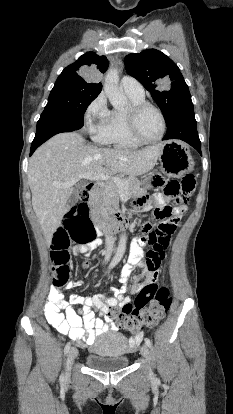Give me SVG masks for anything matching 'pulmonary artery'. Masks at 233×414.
<instances>
[{
    "label": "pulmonary artery",
    "mask_w": 233,
    "mask_h": 414,
    "mask_svg": "<svg viewBox=\"0 0 233 414\" xmlns=\"http://www.w3.org/2000/svg\"><path fill=\"white\" fill-rule=\"evenodd\" d=\"M120 87L127 94L135 96H144V88L135 78L130 76H124L121 79Z\"/></svg>",
    "instance_id": "e3ab8cb5"
}]
</instances>
